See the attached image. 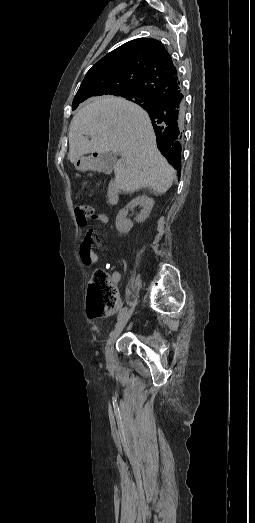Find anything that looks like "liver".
<instances>
[{"label":"liver","mask_w":255,"mask_h":523,"mask_svg":"<svg viewBox=\"0 0 255 523\" xmlns=\"http://www.w3.org/2000/svg\"><path fill=\"white\" fill-rule=\"evenodd\" d=\"M68 138L71 164L84 154L120 152L114 174L124 192L152 188L165 194L172 186L175 170L157 148L147 112L133 102L114 96L88 100L75 114Z\"/></svg>","instance_id":"1"}]
</instances>
